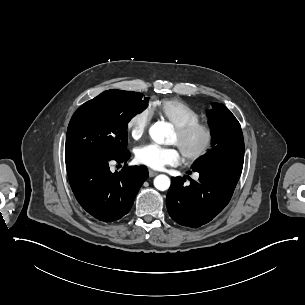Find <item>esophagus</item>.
<instances>
[{
	"instance_id": "esophagus-1",
	"label": "esophagus",
	"mask_w": 305,
	"mask_h": 305,
	"mask_svg": "<svg viewBox=\"0 0 305 305\" xmlns=\"http://www.w3.org/2000/svg\"><path fill=\"white\" fill-rule=\"evenodd\" d=\"M158 173L153 171V170H149V177H154L156 176Z\"/></svg>"
}]
</instances>
